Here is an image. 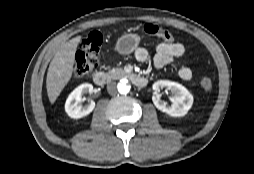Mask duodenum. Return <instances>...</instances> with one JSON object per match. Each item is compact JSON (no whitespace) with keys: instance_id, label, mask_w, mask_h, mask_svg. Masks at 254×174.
Listing matches in <instances>:
<instances>
[{"instance_id":"410a0bca","label":"duodenum","mask_w":254,"mask_h":174,"mask_svg":"<svg viewBox=\"0 0 254 174\" xmlns=\"http://www.w3.org/2000/svg\"><path fill=\"white\" fill-rule=\"evenodd\" d=\"M129 77L132 83L139 88H144L147 85V80L144 77L133 74H130ZM93 80L98 86H104L109 81V76L105 72L97 71L93 75Z\"/></svg>"}]
</instances>
